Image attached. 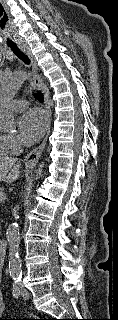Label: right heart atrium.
Listing matches in <instances>:
<instances>
[{
  "label": "right heart atrium",
  "instance_id": "1",
  "mask_svg": "<svg viewBox=\"0 0 118 320\" xmlns=\"http://www.w3.org/2000/svg\"><path fill=\"white\" fill-rule=\"evenodd\" d=\"M1 138L8 153L18 152L23 145L21 138L17 134H4L1 135Z\"/></svg>",
  "mask_w": 118,
  "mask_h": 320
}]
</instances>
